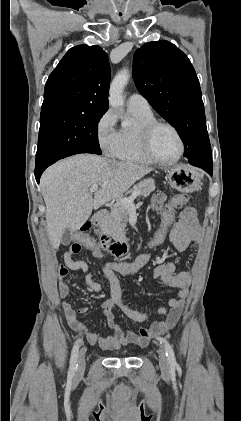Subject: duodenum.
I'll use <instances>...</instances> for the list:
<instances>
[{
    "instance_id": "1",
    "label": "duodenum",
    "mask_w": 241,
    "mask_h": 421,
    "mask_svg": "<svg viewBox=\"0 0 241 421\" xmlns=\"http://www.w3.org/2000/svg\"><path fill=\"white\" fill-rule=\"evenodd\" d=\"M108 216L107 210H100L97 211L92 218V221L94 225L98 228V234L100 239L101 247H112L114 249V255L121 256L125 254L128 251V246L124 241L121 240H112L109 236L102 233L100 231V227L102 222L106 219Z\"/></svg>"
}]
</instances>
